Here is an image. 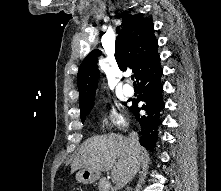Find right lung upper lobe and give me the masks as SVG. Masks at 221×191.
<instances>
[{
	"instance_id": "right-lung-upper-lobe-1",
	"label": "right lung upper lobe",
	"mask_w": 221,
	"mask_h": 191,
	"mask_svg": "<svg viewBox=\"0 0 221 191\" xmlns=\"http://www.w3.org/2000/svg\"><path fill=\"white\" fill-rule=\"evenodd\" d=\"M118 36L115 43V59L121 70L126 67L133 69L137 79L147 68L158 59L157 40L154 36V24L150 18L141 14H126L122 17V29L117 28ZM102 52L93 50L83 60L77 75V85L80 93L79 106L81 113L91 110L94 106V96L97 87L99 70L96 57Z\"/></svg>"
}]
</instances>
